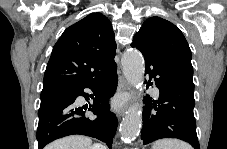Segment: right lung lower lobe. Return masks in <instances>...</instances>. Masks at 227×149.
<instances>
[{
	"instance_id": "obj_1",
	"label": "right lung lower lobe",
	"mask_w": 227,
	"mask_h": 149,
	"mask_svg": "<svg viewBox=\"0 0 227 149\" xmlns=\"http://www.w3.org/2000/svg\"><path fill=\"white\" fill-rule=\"evenodd\" d=\"M116 69L117 65L113 61L96 75L69 87L68 94L40 106L36 133L38 149L55 139L74 134L97 138L112 148L118 122L115 114L109 110V99L114 95L118 83ZM85 88L94 92V95H90L93 104L89 108L75 104L78 96L89 99L88 94L83 91ZM85 110L91 111L95 117H85Z\"/></svg>"
}]
</instances>
